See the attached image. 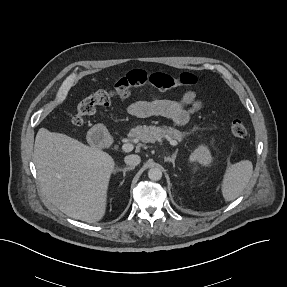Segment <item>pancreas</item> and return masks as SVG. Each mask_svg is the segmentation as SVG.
Instances as JSON below:
<instances>
[{"instance_id":"obj_1","label":"pancreas","mask_w":287,"mask_h":287,"mask_svg":"<svg viewBox=\"0 0 287 287\" xmlns=\"http://www.w3.org/2000/svg\"><path fill=\"white\" fill-rule=\"evenodd\" d=\"M187 135H189L188 132H180L178 129L170 126L138 125L131 129L128 136L144 143H154L155 141H161L168 138L181 142Z\"/></svg>"}]
</instances>
